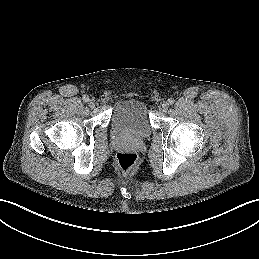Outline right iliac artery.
Listing matches in <instances>:
<instances>
[{"mask_svg": "<svg viewBox=\"0 0 259 259\" xmlns=\"http://www.w3.org/2000/svg\"><path fill=\"white\" fill-rule=\"evenodd\" d=\"M83 101H84V102H88V101H89V97H88L87 95H84V96H83Z\"/></svg>", "mask_w": 259, "mask_h": 259, "instance_id": "right-iliac-artery-1", "label": "right iliac artery"}]
</instances>
